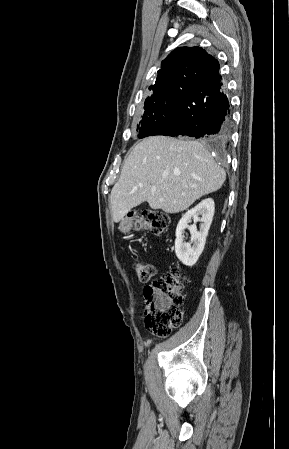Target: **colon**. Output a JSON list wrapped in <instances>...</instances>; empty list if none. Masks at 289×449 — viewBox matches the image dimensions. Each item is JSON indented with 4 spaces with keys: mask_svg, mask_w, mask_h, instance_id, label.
<instances>
[{
    "mask_svg": "<svg viewBox=\"0 0 289 449\" xmlns=\"http://www.w3.org/2000/svg\"><path fill=\"white\" fill-rule=\"evenodd\" d=\"M169 224L167 215L160 211L146 210L129 225L135 229L161 234ZM134 270L141 281H149L156 273L155 266L135 260ZM188 281L177 269H173L158 281L144 288L143 315L145 326L153 335L167 337L182 322L183 288Z\"/></svg>",
    "mask_w": 289,
    "mask_h": 449,
    "instance_id": "obj_1",
    "label": "colon"
}]
</instances>
